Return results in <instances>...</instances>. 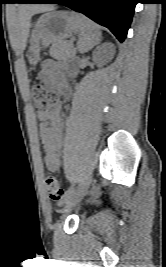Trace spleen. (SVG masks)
I'll use <instances>...</instances> for the list:
<instances>
[{"label":"spleen","instance_id":"obj_1","mask_svg":"<svg viewBox=\"0 0 166 267\" xmlns=\"http://www.w3.org/2000/svg\"><path fill=\"white\" fill-rule=\"evenodd\" d=\"M79 25V41L77 44L78 51L85 53L91 50L100 42L101 31L99 27L90 19L83 15H78Z\"/></svg>","mask_w":166,"mask_h":267}]
</instances>
